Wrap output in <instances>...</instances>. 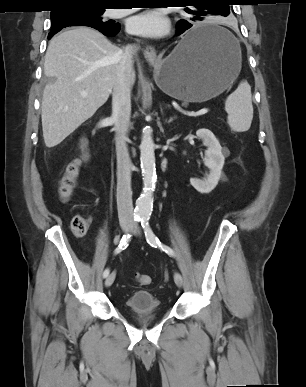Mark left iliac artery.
<instances>
[{"instance_id": "obj_1", "label": "left iliac artery", "mask_w": 306, "mask_h": 387, "mask_svg": "<svg viewBox=\"0 0 306 387\" xmlns=\"http://www.w3.org/2000/svg\"><path fill=\"white\" fill-rule=\"evenodd\" d=\"M141 225L144 229L145 237H146V240H147L149 245H151L152 247H155V248H157V247L160 248L162 251H164L165 253H167L170 256L175 255L174 251L170 247L162 244L160 242V240L155 236V234L153 233V231L149 225V218L143 217L141 219Z\"/></svg>"}]
</instances>
